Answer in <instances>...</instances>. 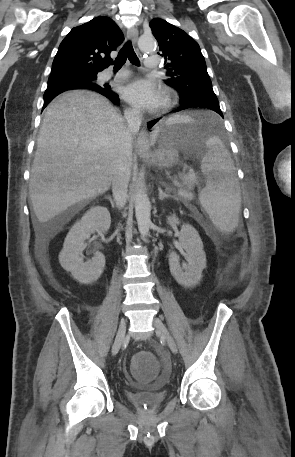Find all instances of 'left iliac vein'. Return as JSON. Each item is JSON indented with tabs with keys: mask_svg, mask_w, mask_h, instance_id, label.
I'll return each mask as SVG.
<instances>
[{
	"mask_svg": "<svg viewBox=\"0 0 295 457\" xmlns=\"http://www.w3.org/2000/svg\"><path fill=\"white\" fill-rule=\"evenodd\" d=\"M153 325L156 329V331L163 337V339L166 341L168 347L171 349L173 353H177V345L173 339V337L170 335L169 331L167 330L166 326L163 324V322L155 317L153 319Z\"/></svg>",
	"mask_w": 295,
	"mask_h": 457,
	"instance_id": "obj_1",
	"label": "left iliac vein"
}]
</instances>
